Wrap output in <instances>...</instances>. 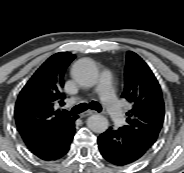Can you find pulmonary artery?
I'll return each instance as SVG.
<instances>
[{
    "mask_svg": "<svg viewBox=\"0 0 184 173\" xmlns=\"http://www.w3.org/2000/svg\"><path fill=\"white\" fill-rule=\"evenodd\" d=\"M98 91L101 100L112 120L116 124H121L124 119V111L120 101L116 97L112 82V75L110 72H105L102 74L99 81Z\"/></svg>",
    "mask_w": 184,
    "mask_h": 173,
    "instance_id": "e3ab8cb5",
    "label": "pulmonary artery"
}]
</instances>
